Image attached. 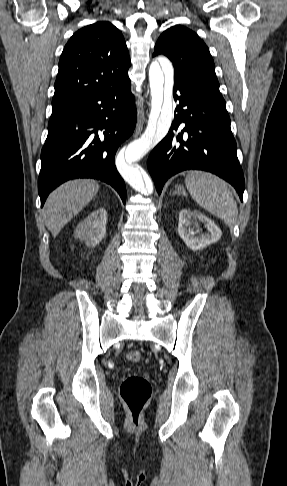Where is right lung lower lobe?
I'll list each match as a JSON object with an SVG mask.
<instances>
[{"mask_svg": "<svg viewBox=\"0 0 287 486\" xmlns=\"http://www.w3.org/2000/svg\"><path fill=\"white\" fill-rule=\"evenodd\" d=\"M130 81L94 93L62 110L53 111L41 152L38 192L41 206L49 193L74 178H94L110 184L126 201V187L114 157L136 124Z\"/></svg>", "mask_w": 287, "mask_h": 486, "instance_id": "right-lung-lower-lobe-1", "label": "right lung lower lobe"}]
</instances>
